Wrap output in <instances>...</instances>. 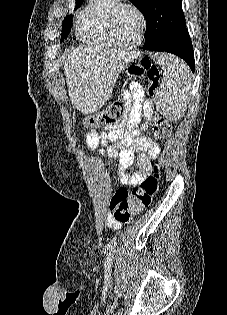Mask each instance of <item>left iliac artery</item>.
Wrapping results in <instances>:
<instances>
[{"label":"left iliac artery","instance_id":"obj_1","mask_svg":"<svg viewBox=\"0 0 227 315\" xmlns=\"http://www.w3.org/2000/svg\"><path fill=\"white\" fill-rule=\"evenodd\" d=\"M115 251H116L115 246H111V248L109 249L107 260L105 262V274L106 275H110V273H111V266H112V261L114 258Z\"/></svg>","mask_w":227,"mask_h":315}]
</instances>
